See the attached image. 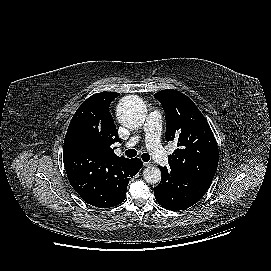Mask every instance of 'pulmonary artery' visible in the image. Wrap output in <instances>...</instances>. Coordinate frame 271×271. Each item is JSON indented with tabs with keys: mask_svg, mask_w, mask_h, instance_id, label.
I'll return each instance as SVG.
<instances>
[{
	"mask_svg": "<svg viewBox=\"0 0 271 271\" xmlns=\"http://www.w3.org/2000/svg\"><path fill=\"white\" fill-rule=\"evenodd\" d=\"M161 114L157 111L150 112L143 127L145 142L152 158L159 164L168 163V155L160 144L161 134ZM140 140V136L132 137L127 143V147L134 146Z\"/></svg>",
	"mask_w": 271,
	"mask_h": 271,
	"instance_id": "e3ab8cb5",
	"label": "pulmonary artery"
}]
</instances>
